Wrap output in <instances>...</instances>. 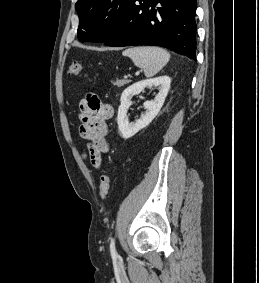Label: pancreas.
I'll use <instances>...</instances> for the list:
<instances>
[{
  "instance_id": "pancreas-1",
  "label": "pancreas",
  "mask_w": 259,
  "mask_h": 283,
  "mask_svg": "<svg viewBox=\"0 0 259 283\" xmlns=\"http://www.w3.org/2000/svg\"><path fill=\"white\" fill-rule=\"evenodd\" d=\"M130 82L131 80L128 79H116L115 81H112V83L117 87H122Z\"/></svg>"
}]
</instances>
